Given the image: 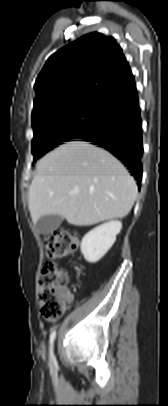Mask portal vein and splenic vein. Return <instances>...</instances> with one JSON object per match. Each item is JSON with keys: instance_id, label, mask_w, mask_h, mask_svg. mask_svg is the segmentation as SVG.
Here are the masks:
<instances>
[{"instance_id": "portal-vein-and-splenic-vein-1", "label": "portal vein and splenic vein", "mask_w": 168, "mask_h": 406, "mask_svg": "<svg viewBox=\"0 0 168 406\" xmlns=\"http://www.w3.org/2000/svg\"><path fill=\"white\" fill-rule=\"evenodd\" d=\"M73 193H78V190H75Z\"/></svg>"}]
</instances>
